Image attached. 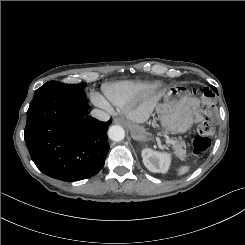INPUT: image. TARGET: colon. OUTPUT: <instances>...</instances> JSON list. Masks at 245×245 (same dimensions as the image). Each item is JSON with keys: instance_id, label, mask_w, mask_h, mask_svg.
<instances>
[{"instance_id": "colon-1", "label": "colon", "mask_w": 245, "mask_h": 245, "mask_svg": "<svg viewBox=\"0 0 245 245\" xmlns=\"http://www.w3.org/2000/svg\"><path fill=\"white\" fill-rule=\"evenodd\" d=\"M215 127L207 117H204L198 127V134L192 142V152L196 157H203L210 147V136Z\"/></svg>"}]
</instances>
